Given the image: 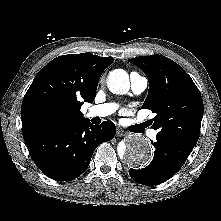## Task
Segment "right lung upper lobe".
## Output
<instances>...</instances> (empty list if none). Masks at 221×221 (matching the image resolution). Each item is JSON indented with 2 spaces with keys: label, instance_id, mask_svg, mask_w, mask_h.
I'll list each match as a JSON object with an SVG mask.
<instances>
[{
  "label": "right lung upper lobe",
  "instance_id": "1",
  "mask_svg": "<svg viewBox=\"0 0 221 221\" xmlns=\"http://www.w3.org/2000/svg\"><path fill=\"white\" fill-rule=\"evenodd\" d=\"M114 58L91 53L59 56L34 78L21 106L24 138L88 121L80 109L93 102L103 71Z\"/></svg>",
  "mask_w": 221,
  "mask_h": 221
}]
</instances>
